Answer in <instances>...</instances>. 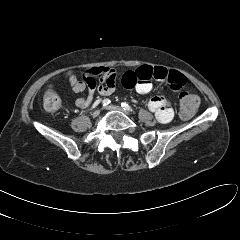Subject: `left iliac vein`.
<instances>
[{
    "label": "left iliac vein",
    "instance_id": "obj_1",
    "mask_svg": "<svg viewBox=\"0 0 240 240\" xmlns=\"http://www.w3.org/2000/svg\"><path fill=\"white\" fill-rule=\"evenodd\" d=\"M105 109L111 110V111H118V112H122V113H124L126 115H129V112H127L126 110H124L120 106L110 105V106H107Z\"/></svg>",
    "mask_w": 240,
    "mask_h": 240
}]
</instances>
